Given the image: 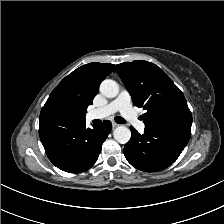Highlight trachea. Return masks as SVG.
Wrapping results in <instances>:
<instances>
[{
    "instance_id": "trachea-1",
    "label": "trachea",
    "mask_w": 224,
    "mask_h": 224,
    "mask_svg": "<svg viewBox=\"0 0 224 224\" xmlns=\"http://www.w3.org/2000/svg\"><path fill=\"white\" fill-rule=\"evenodd\" d=\"M114 119H115V122L118 123V124L126 123V121L120 116H116Z\"/></svg>"
}]
</instances>
